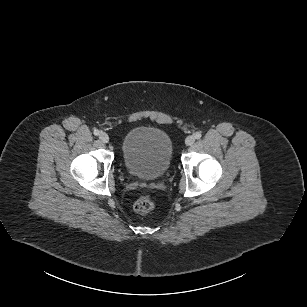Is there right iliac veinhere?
Listing matches in <instances>:
<instances>
[{"instance_id":"63e3f726","label":"right iliac vein","mask_w":307,"mask_h":307,"mask_svg":"<svg viewBox=\"0 0 307 307\" xmlns=\"http://www.w3.org/2000/svg\"><path fill=\"white\" fill-rule=\"evenodd\" d=\"M99 139L102 143H108L109 142V136L102 132L100 135H99Z\"/></svg>"}]
</instances>
